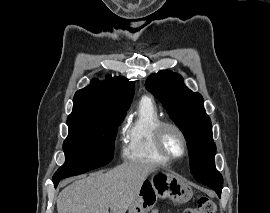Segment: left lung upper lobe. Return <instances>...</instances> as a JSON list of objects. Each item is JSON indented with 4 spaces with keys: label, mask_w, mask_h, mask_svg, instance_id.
Here are the masks:
<instances>
[{
    "label": "left lung upper lobe",
    "mask_w": 270,
    "mask_h": 213,
    "mask_svg": "<svg viewBox=\"0 0 270 213\" xmlns=\"http://www.w3.org/2000/svg\"><path fill=\"white\" fill-rule=\"evenodd\" d=\"M146 88L160 100L171 119L186 134L190 171L194 178L221 195L223 178L215 167L216 146L202 96L188 89L182 77L172 71L152 74Z\"/></svg>",
    "instance_id": "left-lung-upper-lobe-1"
}]
</instances>
